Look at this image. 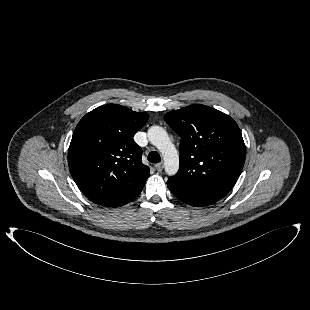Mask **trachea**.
<instances>
[{
    "mask_svg": "<svg viewBox=\"0 0 310 310\" xmlns=\"http://www.w3.org/2000/svg\"><path fill=\"white\" fill-rule=\"evenodd\" d=\"M148 160L152 163H159L161 161V158L156 151H152L148 155Z\"/></svg>",
    "mask_w": 310,
    "mask_h": 310,
    "instance_id": "3493384b",
    "label": "trachea"
}]
</instances>
